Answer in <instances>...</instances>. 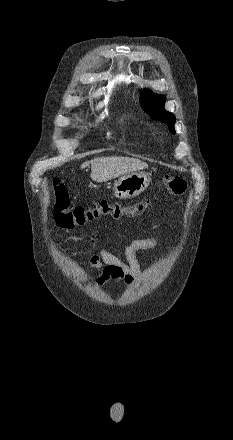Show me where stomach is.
<instances>
[{"label":"stomach","mask_w":233,"mask_h":440,"mask_svg":"<svg viewBox=\"0 0 233 440\" xmlns=\"http://www.w3.org/2000/svg\"><path fill=\"white\" fill-rule=\"evenodd\" d=\"M150 175L144 172L129 173L117 181L113 186L115 197L130 199L142 193L150 184Z\"/></svg>","instance_id":"1"}]
</instances>
